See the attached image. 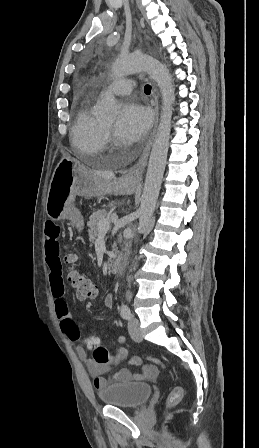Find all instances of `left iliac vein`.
I'll return each instance as SVG.
<instances>
[{
  "label": "left iliac vein",
  "instance_id": "1",
  "mask_svg": "<svg viewBox=\"0 0 259 448\" xmlns=\"http://www.w3.org/2000/svg\"><path fill=\"white\" fill-rule=\"evenodd\" d=\"M128 331L131 336V338L139 342L142 340V332L140 328V322L136 317H130L128 321Z\"/></svg>",
  "mask_w": 259,
  "mask_h": 448
}]
</instances>
